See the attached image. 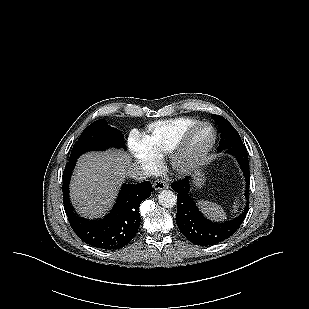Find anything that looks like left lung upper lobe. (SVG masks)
Segmentation results:
<instances>
[{
    "mask_svg": "<svg viewBox=\"0 0 309 309\" xmlns=\"http://www.w3.org/2000/svg\"><path fill=\"white\" fill-rule=\"evenodd\" d=\"M213 119L216 121L221 133L220 144L218 150H223L232 146L243 145V142L235 130V128L225 118L219 115L212 114Z\"/></svg>",
    "mask_w": 309,
    "mask_h": 309,
    "instance_id": "obj_1",
    "label": "left lung upper lobe"
}]
</instances>
